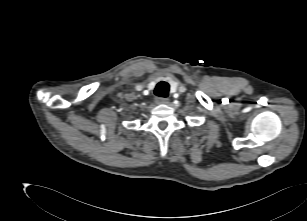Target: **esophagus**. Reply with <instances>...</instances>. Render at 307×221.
Segmentation results:
<instances>
[{
    "label": "esophagus",
    "mask_w": 307,
    "mask_h": 221,
    "mask_svg": "<svg viewBox=\"0 0 307 221\" xmlns=\"http://www.w3.org/2000/svg\"><path fill=\"white\" fill-rule=\"evenodd\" d=\"M155 103L156 104H168L169 103V99L168 98H163V97H157L155 98Z\"/></svg>",
    "instance_id": "obj_1"
}]
</instances>
